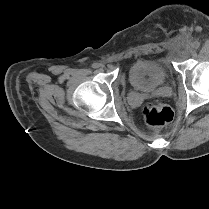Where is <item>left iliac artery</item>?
<instances>
[{"label":"left iliac artery","mask_w":209,"mask_h":209,"mask_svg":"<svg viewBox=\"0 0 209 209\" xmlns=\"http://www.w3.org/2000/svg\"><path fill=\"white\" fill-rule=\"evenodd\" d=\"M199 46H200V43L198 41L193 43V48L197 49L199 48Z\"/></svg>","instance_id":"44dca946"}]
</instances>
